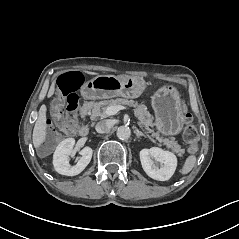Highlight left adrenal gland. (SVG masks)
Instances as JSON below:
<instances>
[{
  "mask_svg": "<svg viewBox=\"0 0 239 239\" xmlns=\"http://www.w3.org/2000/svg\"><path fill=\"white\" fill-rule=\"evenodd\" d=\"M134 133L136 134L138 141H140L141 137L146 138V136L142 132H140L138 129L134 130Z\"/></svg>",
  "mask_w": 239,
  "mask_h": 239,
  "instance_id": "1",
  "label": "left adrenal gland"
}]
</instances>
